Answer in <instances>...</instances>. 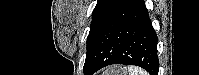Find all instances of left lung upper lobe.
Listing matches in <instances>:
<instances>
[{"instance_id": "left-lung-upper-lobe-1", "label": "left lung upper lobe", "mask_w": 199, "mask_h": 75, "mask_svg": "<svg viewBox=\"0 0 199 75\" xmlns=\"http://www.w3.org/2000/svg\"><path fill=\"white\" fill-rule=\"evenodd\" d=\"M122 0H98L92 13L90 32L87 37V53L84 67L94 52L103 29Z\"/></svg>"}]
</instances>
